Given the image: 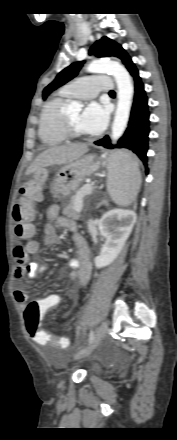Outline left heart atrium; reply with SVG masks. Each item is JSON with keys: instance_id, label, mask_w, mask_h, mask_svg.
<instances>
[{"instance_id": "1", "label": "left heart atrium", "mask_w": 177, "mask_h": 440, "mask_svg": "<svg viewBox=\"0 0 177 440\" xmlns=\"http://www.w3.org/2000/svg\"><path fill=\"white\" fill-rule=\"evenodd\" d=\"M108 117L109 113L105 105L91 102L80 114L78 126L83 133L96 135L105 129Z\"/></svg>"}]
</instances>
